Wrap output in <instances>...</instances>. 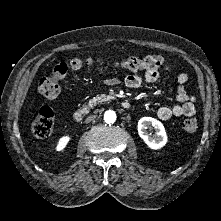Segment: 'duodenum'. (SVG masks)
<instances>
[{
    "instance_id": "duodenum-1",
    "label": "duodenum",
    "mask_w": 221,
    "mask_h": 221,
    "mask_svg": "<svg viewBox=\"0 0 221 221\" xmlns=\"http://www.w3.org/2000/svg\"><path fill=\"white\" fill-rule=\"evenodd\" d=\"M121 106L123 109H129L131 107V104L127 100H123L121 102ZM91 109L87 105H83L79 107L77 110H75L73 117L76 121H80L82 118L90 114Z\"/></svg>"
}]
</instances>
